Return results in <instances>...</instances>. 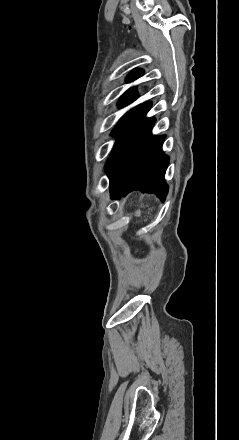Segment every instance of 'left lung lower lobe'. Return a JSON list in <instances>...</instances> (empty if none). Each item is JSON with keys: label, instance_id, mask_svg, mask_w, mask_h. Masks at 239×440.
<instances>
[{"label": "left lung lower lobe", "instance_id": "1", "mask_svg": "<svg viewBox=\"0 0 239 440\" xmlns=\"http://www.w3.org/2000/svg\"><path fill=\"white\" fill-rule=\"evenodd\" d=\"M151 103H143L126 114L113 129L117 142L106 171L111 198L142 189L156 193L162 200L168 193L165 171L169 157L162 151L165 136H152L154 118H145Z\"/></svg>", "mask_w": 239, "mask_h": 440}]
</instances>
